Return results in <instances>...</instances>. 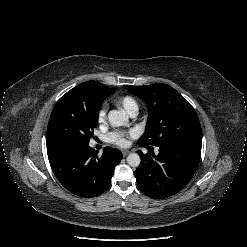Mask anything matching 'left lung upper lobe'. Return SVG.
Returning a JSON list of instances; mask_svg holds the SVG:
<instances>
[{
  "label": "left lung upper lobe",
  "instance_id": "left-lung-upper-lobe-1",
  "mask_svg": "<svg viewBox=\"0 0 247 247\" xmlns=\"http://www.w3.org/2000/svg\"><path fill=\"white\" fill-rule=\"evenodd\" d=\"M143 99L149 109L148 121L138 145H202V130L196 111L180 93L167 84L124 85Z\"/></svg>",
  "mask_w": 247,
  "mask_h": 247
}]
</instances>
